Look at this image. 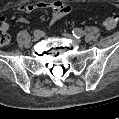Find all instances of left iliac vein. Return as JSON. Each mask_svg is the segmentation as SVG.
Returning <instances> with one entry per match:
<instances>
[{
	"instance_id": "left-iliac-vein-1",
	"label": "left iliac vein",
	"mask_w": 119,
	"mask_h": 119,
	"mask_svg": "<svg viewBox=\"0 0 119 119\" xmlns=\"http://www.w3.org/2000/svg\"><path fill=\"white\" fill-rule=\"evenodd\" d=\"M63 35H64V37H66L67 39L72 40V41H74V42H76V43H80V42H81V40H80L79 38H75L72 34L66 33V34H63Z\"/></svg>"
}]
</instances>
